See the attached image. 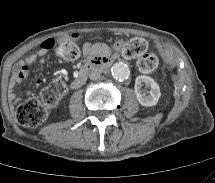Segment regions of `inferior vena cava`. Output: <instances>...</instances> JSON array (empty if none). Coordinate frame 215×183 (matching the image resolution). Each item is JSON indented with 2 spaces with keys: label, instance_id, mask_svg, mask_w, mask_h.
<instances>
[{
  "label": "inferior vena cava",
  "instance_id": "1",
  "mask_svg": "<svg viewBox=\"0 0 215 183\" xmlns=\"http://www.w3.org/2000/svg\"><path fill=\"white\" fill-rule=\"evenodd\" d=\"M89 78H90L91 80H97V79H99V78H100V72L97 71V70L91 71V72L89 73Z\"/></svg>",
  "mask_w": 215,
  "mask_h": 183
}]
</instances>
